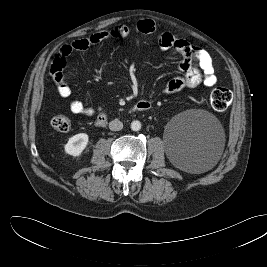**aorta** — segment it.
<instances>
[{
	"label": "aorta",
	"mask_w": 267,
	"mask_h": 267,
	"mask_svg": "<svg viewBox=\"0 0 267 267\" xmlns=\"http://www.w3.org/2000/svg\"><path fill=\"white\" fill-rule=\"evenodd\" d=\"M131 129L133 131H139L141 129V122L138 120H134L131 123Z\"/></svg>",
	"instance_id": "1"
}]
</instances>
